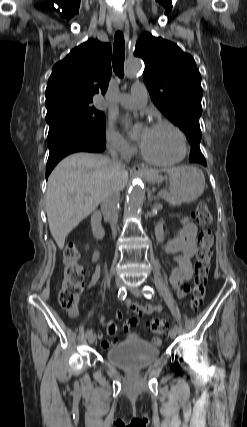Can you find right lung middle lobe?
<instances>
[{"instance_id": "right-lung-middle-lobe-1", "label": "right lung middle lobe", "mask_w": 247, "mask_h": 427, "mask_svg": "<svg viewBox=\"0 0 247 427\" xmlns=\"http://www.w3.org/2000/svg\"><path fill=\"white\" fill-rule=\"evenodd\" d=\"M51 125H65L80 130L105 143V117L92 105L67 106L46 115Z\"/></svg>"}]
</instances>
